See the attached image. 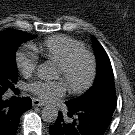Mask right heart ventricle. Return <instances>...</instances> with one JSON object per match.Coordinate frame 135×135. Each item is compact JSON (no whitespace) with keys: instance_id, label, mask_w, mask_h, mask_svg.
<instances>
[{"instance_id":"obj_1","label":"right heart ventricle","mask_w":135,"mask_h":135,"mask_svg":"<svg viewBox=\"0 0 135 135\" xmlns=\"http://www.w3.org/2000/svg\"><path fill=\"white\" fill-rule=\"evenodd\" d=\"M32 48L41 53L45 59L57 65L64 62L72 54L86 50L80 41L65 35L49 37L40 46Z\"/></svg>"}]
</instances>
